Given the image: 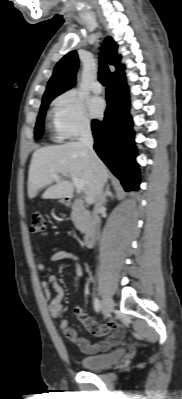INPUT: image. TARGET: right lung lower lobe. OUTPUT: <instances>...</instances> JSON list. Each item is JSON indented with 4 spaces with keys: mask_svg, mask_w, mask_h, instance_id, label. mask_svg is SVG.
Returning a JSON list of instances; mask_svg holds the SVG:
<instances>
[{
    "mask_svg": "<svg viewBox=\"0 0 182 399\" xmlns=\"http://www.w3.org/2000/svg\"><path fill=\"white\" fill-rule=\"evenodd\" d=\"M106 100L104 120L92 121L94 149L126 191L138 190L139 168L125 74L110 79Z\"/></svg>",
    "mask_w": 182,
    "mask_h": 399,
    "instance_id": "obj_1",
    "label": "right lung lower lobe"
}]
</instances>
